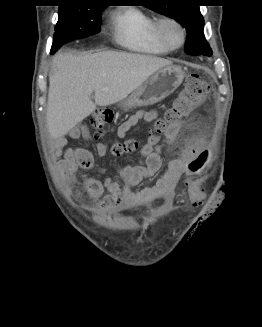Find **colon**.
I'll use <instances>...</instances> for the list:
<instances>
[{
	"instance_id": "colon-1",
	"label": "colon",
	"mask_w": 262,
	"mask_h": 327,
	"mask_svg": "<svg viewBox=\"0 0 262 327\" xmlns=\"http://www.w3.org/2000/svg\"><path fill=\"white\" fill-rule=\"evenodd\" d=\"M209 91V83L199 74L194 73L189 75L182 91L176 97L172 106L166 111L164 117L157 120L155 123L154 133L161 134L167 131L171 126L188 117L205 101ZM113 119V112L108 109L97 110L92 114L91 125L95 131L96 139L104 136L105 126L110 124ZM138 147V141L135 139H127L114 142L109 146V149L115 156H121L136 151ZM204 161L205 155L196 162L197 170L203 165Z\"/></svg>"
}]
</instances>
